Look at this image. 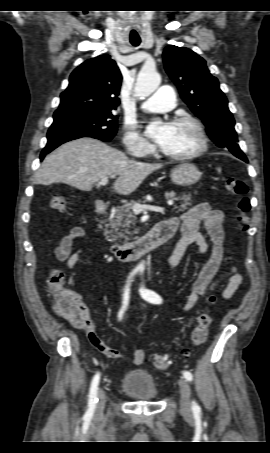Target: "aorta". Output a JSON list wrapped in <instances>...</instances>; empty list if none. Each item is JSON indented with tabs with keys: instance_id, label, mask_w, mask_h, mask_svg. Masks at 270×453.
I'll list each match as a JSON object with an SVG mask.
<instances>
[{
	"instance_id": "obj_1",
	"label": "aorta",
	"mask_w": 270,
	"mask_h": 453,
	"mask_svg": "<svg viewBox=\"0 0 270 453\" xmlns=\"http://www.w3.org/2000/svg\"><path fill=\"white\" fill-rule=\"evenodd\" d=\"M160 83L161 77L156 69L144 66L137 76L134 88L135 95L145 99L159 87ZM139 267H143V264H140Z\"/></svg>"
}]
</instances>
